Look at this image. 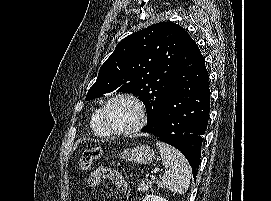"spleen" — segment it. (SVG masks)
Listing matches in <instances>:
<instances>
[{
	"instance_id": "3e777b00",
	"label": "spleen",
	"mask_w": 271,
	"mask_h": 201,
	"mask_svg": "<svg viewBox=\"0 0 271 201\" xmlns=\"http://www.w3.org/2000/svg\"><path fill=\"white\" fill-rule=\"evenodd\" d=\"M156 146L165 167L159 186L174 193H186L191 177V167L187 159L179 150L165 142L157 141Z\"/></svg>"
}]
</instances>
